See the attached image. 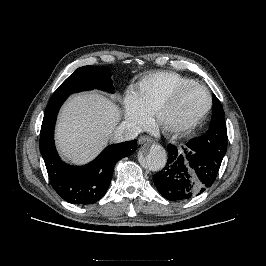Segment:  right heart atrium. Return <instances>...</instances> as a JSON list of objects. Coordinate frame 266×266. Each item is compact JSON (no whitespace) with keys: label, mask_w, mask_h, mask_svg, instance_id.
Here are the masks:
<instances>
[{"label":"right heart atrium","mask_w":266,"mask_h":266,"mask_svg":"<svg viewBox=\"0 0 266 266\" xmlns=\"http://www.w3.org/2000/svg\"><path fill=\"white\" fill-rule=\"evenodd\" d=\"M124 112L126 121L134 127L143 128L150 122L149 115L137 105L133 95L126 98Z\"/></svg>","instance_id":"obj_1"}]
</instances>
